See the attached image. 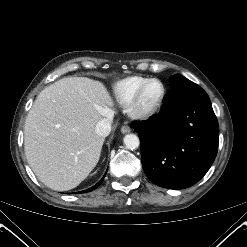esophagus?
Returning a JSON list of instances; mask_svg holds the SVG:
<instances>
[{
	"instance_id": "obj_1",
	"label": "esophagus",
	"mask_w": 247,
	"mask_h": 247,
	"mask_svg": "<svg viewBox=\"0 0 247 247\" xmlns=\"http://www.w3.org/2000/svg\"><path fill=\"white\" fill-rule=\"evenodd\" d=\"M130 131H131V128L129 126H127V125H124V126L121 127V132L123 134L129 133Z\"/></svg>"
}]
</instances>
